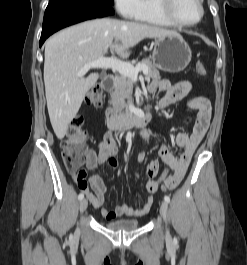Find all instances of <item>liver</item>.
<instances>
[{
	"label": "liver",
	"mask_w": 247,
	"mask_h": 265,
	"mask_svg": "<svg viewBox=\"0 0 247 265\" xmlns=\"http://www.w3.org/2000/svg\"><path fill=\"white\" fill-rule=\"evenodd\" d=\"M175 32L137 22L95 19L68 27L48 39L44 54V83L49 118L58 139L77 115L85 95L98 80V73L78 77L80 69L103 57L108 49L127 57L144 38Z\"/></svg>",
	"instance_id": "6515ba94"
}]
</instances>
